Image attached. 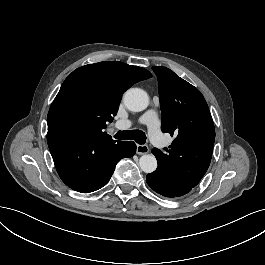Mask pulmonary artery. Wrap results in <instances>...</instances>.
<instances>
[{"label": "pulmonary artery", "mask_w": 265, "mask_h": 265, "mask_svg": "<svg viewBox=\"0 0 265 265\" xmlns=\"http://www.w3.org/2000/svg\"><path fill=\"white\" fill-rule=\"evenodd\" d=\"M140 122L144 123L147 130H150L148 138L151 146L156 149L163 148L165 146L166 140L162 135V132L160 130H157V128H159V117L157 110H147L140 118ZM132 124L133 123L131 121L125 120L117 122L116 127L124 129L130 127Z\"/></svg>", "instance_id": "pulmonary-artery-1"}]
</instances>
